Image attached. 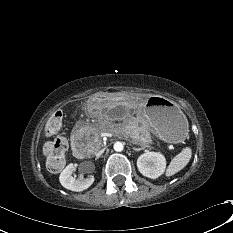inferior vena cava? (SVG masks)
<instances>
[{"label": "inferior vena cava", "mask_w": 233, "mask_h": 233, "mask_svg": "<svg viewBox=\"0 0 233 233\" xmlns=\"http://www.w3.org/2000/svg\"><path fill=\"white\" fill-rule=\"evenodd\" d=\"M103 152H104V149L98 151V152L96 153V156H100Z\"/></svg>", "instance_id": "inferior-vena-cava-1"}]
</instances>
